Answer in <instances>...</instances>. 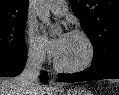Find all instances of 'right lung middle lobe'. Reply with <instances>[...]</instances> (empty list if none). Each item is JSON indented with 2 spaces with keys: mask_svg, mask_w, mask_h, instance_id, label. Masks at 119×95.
Wrapping results in <instances>:
<instances>
[{
  "mask_svg": "<svg viewBox=\"0 0 119 95\" xmlns=\"http://www.w3.org/2000/svg\"><path fill=\"white\" fill-rule=\"evenodd\" d=\"M25 24L26 21L0 25V52H20L26 47Z\"/></svg>",
  "mask_w": 119,
  "mask_h": 95,
  "instance_id": "dd1d6c3e",
  "label": "right lung middle lobe"
}]
</instances>
